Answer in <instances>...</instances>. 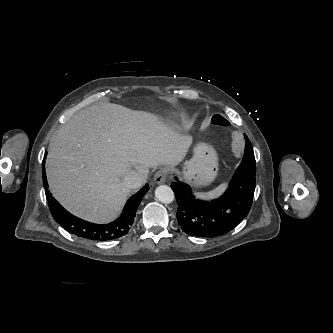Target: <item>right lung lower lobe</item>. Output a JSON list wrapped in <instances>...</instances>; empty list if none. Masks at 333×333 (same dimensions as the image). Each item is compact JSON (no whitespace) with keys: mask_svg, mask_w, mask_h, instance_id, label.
I'll return each mask as SVG.
<instances>
[{"mask_svg":"<svg viewBox=\"0 0 333 333\" xmlns=\"http://www.w3.org/2000/svg\"><path fill=\"white\" fill-rule=\"evenodd\" d=\"M46 157V154H45ZM45 161L43 162V184L45 187L46 198L48 201L51 214L55 221L59 223L65 230L79 237L96 241H107L120 238L129 232L134 221L137 208L148 191L146 184L138 193L133 195L126 203L123 213L114 222L99 225L84 221L66 211L48 191V183L45 174Z\"/></svg>","mask_w":333,"mask_h":333,"instance_id":"98d812e1","label":"right lung lower lobe"}]
</instances>
